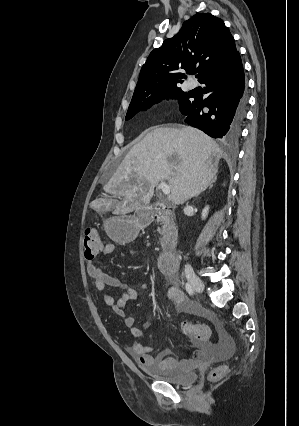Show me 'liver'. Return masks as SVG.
I'll list each match as a JSON object with an SVG mask.
<instances>
[{
	"label": "liver",
	"mask_w": 299,
	"mask_h": 426,
	"mask_svg": "<svg viewBox=\"0 0 299 426\" xmlns=\"http://www.w3.org/2000/svg\"><path fill=\"white\" fill-rule=\"evenodd\" d=\"M223 151L203 132L189 126L153 127L124 157L105 184V192L121 201L99 200L114 214L147 205L155 186L167 180L173 204H183L216 178Z\"/></svg>",
	"instance_id": "obj_1"
}]
</instances>
